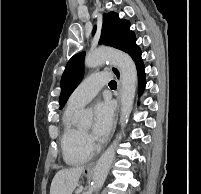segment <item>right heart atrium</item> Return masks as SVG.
I'll list each match as a JSON object with an SVG mask.
<instances>
[{
  "instance_id": "right-heart-atrium-1",
  "label": "right heart atrium",
  "mask_w": 201,
  "mask_h": 194,
  "mask_svg": "<svg viewBox=\"0 0 201 194\" xmlns=\"http://www.w3.org/2000/svg\"><path fill=\"white\" fill-rule=\"evenodd\" d=\"M85 142H86V144H87L89 147L92 146L93 141H92V139H91L90 136L85 135Z\"/></svg>"
}]
</instances>
